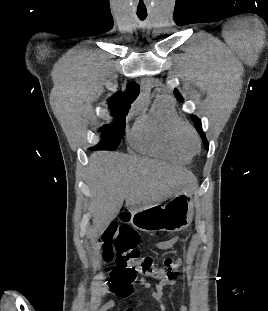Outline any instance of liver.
Returning <instances> with one entry per match:
<instances>
[{
    "instance_id": "1",
    "label": "liver",
    "mask_w": 268,
    "mask_h": 311,
    "mask_svg": "<svg viewBox=\"0 0 268 311\" xmlns=\"http://www.w3.org/2000/svg\"><path fill=\"white\" fill-rule=\"evenodd\" d=\"M86 175L92 194V238L117 216L124 200L131 212L151 207L194 181L192 173L182 167L117 152L92 153Z\"/></svg>"
}]
</instances>
